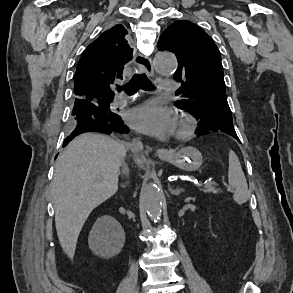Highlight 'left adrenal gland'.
<instances>
[{
  "label": "left adrenal gland",
  "instance_id": "obj_1",
  "mask_svg": "<svg viewBox=\"0 0 293 293\" xmlns=\"http://www.w3.org/2000/svg\"><path fill=\"white\" fill-rule=\"evenodd\" d=\"M168 189L172 195L178 196L180 193L184 192L182 188L173 189L170 185L168 186Z\"/></svg>",
  "mask_w": 293,
  "mask_h": 293
}]
</instances>
